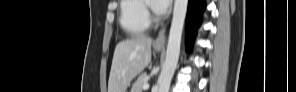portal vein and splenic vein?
Here are the masks:
<instances>
[{"mask_svg":"<svg viewBox=\"0 0 296 92\" xmlns=\"http://www.w3.org/2000/svg\"><path fill=\"white\" fill-rule=\"evenodd\" d=\"M149 88V84L148 83H145L144 85H143V89H148Z\"/></svg>","mask_w":296,"mask_h":92,"instance_id":"portal-vein-and-splenic-vein-1","label":"portal vein and splenic vein"}]
</instances>
